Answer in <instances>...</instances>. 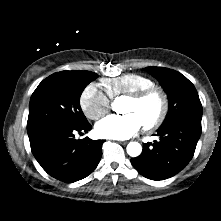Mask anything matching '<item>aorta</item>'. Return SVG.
<instances>
[{
    "mask_svg": "<svg viewBox=\"0 0 221 221\" xmlns=\"http://www.w3.org/2000/svg\"><path fill=\"white\" fill-rule=\"evenodd\" d=\"M127 153L131 157H137L141 154L142 152V146L138 142H130L127 145Z\"/></svg>",
    "mask_w": 221,
    "mask_h": 221,
    "instance_id": "762f6f07",
    "label": "aorta"
}]
</instances>
